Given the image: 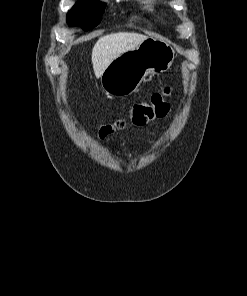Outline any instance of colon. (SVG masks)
Listing matches in <instances>:
<instances>
[{"label": "colon", "mask_w": 247, "mask_h": 296, "mask_svg": "<svg viewBox=\"0 0 247 296\" xmlns=\"http://www.w3.org/2000/svg\"><path fill=\"white\" fill-rule=\"evenodd\" d=\"M172 89L164 88L161 92L154 93L148 100L135 103L128 112L129 120L135 125H144L154 119L166 116L170 109L169 99ZM121 122L102 125L99 129L100 137H107L121 127Z\"/></svg>", "instance_id": "obj_1"}]
</instances>
